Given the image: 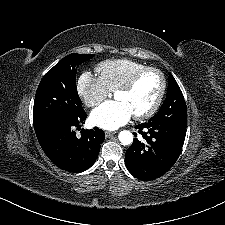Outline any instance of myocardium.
I'll return each instance as SVG.
<instances>
[{
	"label": "myocardium",
	"instance_id": "myocardium-1",
	"mask_svg": "<svg viewBox=\"0 0 225 225\" xmlns=\"http://www.w3.org/2000/svg\"><path fill=\"white\" fill-rule=\"evenodd\" d=\"M148 72H154L160 77V89H159L158 95H157L154 103L151 105V107L149 109H147L145 112H143L141 114L133 115L134 119L137 121H141V120L150 118L159 108V106L164 98V95L166 92V86H167L166 78H165L164 74L162 73V71H160L158 68H155V67H144V68L140 69L139 71H137L136 73H134L125 84L120 86L115 91V94L118 92H122V93L130 92L135 87V85L137 84L139 79Z\"/></svg>",
	"mask_w": 225,
	"mask_h": 225
}]
</instances>
